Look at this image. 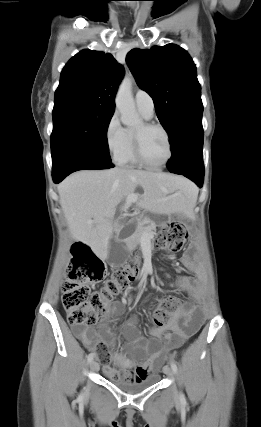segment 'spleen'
<instances>
[{"label":"spleen","mask_w":261,"mask_h":427,"mask_svg":"<svg viewBox=\"0 0 261 427\" xmlns=\"http://www.w3.org/2000/svg\"><path fill=\"white\" fill-rule=\"evenodd\" d=\"M194 198H195V200H196V198H197V193H194Z\"/></svg>","instance_id":"3e777b00"}]
</instances>
